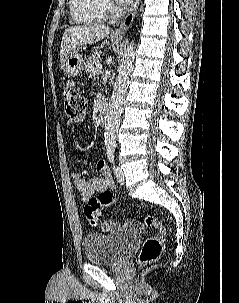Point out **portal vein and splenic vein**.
I'll return each instance as SVG.
<instances>
[{
	"label": "portal vein and splenic vein",
	"mask_w": 239,
	"mask_h": 303,
	"mask_svg": "<svg viewBox=\"0 0 239 303\" xmlns=\"http://www.w3.org/2000/svg\"><path fill=\"white\" fill-rule=\"evenodd\" d=\"M102 69H103V67H102V65H101V64L97 66V71H98L99 73H101V72H102Z\"/></svg>",
	"instance_id": "18ae733b"
}]
</instances>
